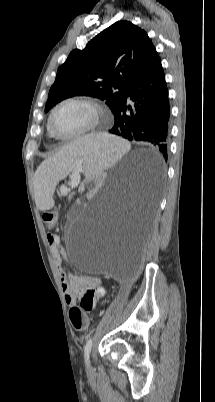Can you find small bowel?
Segmentation results:
<instances>
[{
    "mask_svg": "<svg viewBox=\"0 0 215 402\" xmlns=\"http://www.w3.org/2000/svg\"><path fill=\"white\" fill-rule=\"evenodd\" d=\"M47 241L58 267V273L65 293L66 302L69 305H75L77 300H81L86 293L91 292L94 306L95 303L106 294L101 279L74 274L66 276L61 268V261L62 257L65 255V250L62 246L60 236L56 233H48Z\"/></svg>",
    "mask_w": 215,
    "mask_h": 402,
    "instance_id": "obj_1",
    "label": "small bowel"
}]
</instances>
